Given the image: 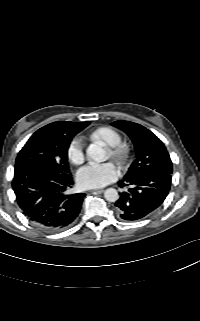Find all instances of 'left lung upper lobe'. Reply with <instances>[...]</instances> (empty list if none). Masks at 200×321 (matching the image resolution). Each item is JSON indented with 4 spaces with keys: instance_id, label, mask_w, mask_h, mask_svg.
<instances>
[{
    "instance_id": "obj_1",
    "label": "left lung upper lobe",
    "mask_w": 200,
    "mask_h": 321,
    "mask_svg": "<svg viewBox=\"0 0 200 321\" xmlns=\"http://www.w3.org/2000/svg\"><path fill=\"white\" fill-rule=\"evenodd\" d=\"M114 127L123 130L134 143L136 159L126 176L146 172H166L172 174V162L162 141L144 126L130 121H115Z\"/></svg>"
}]
</instances>
